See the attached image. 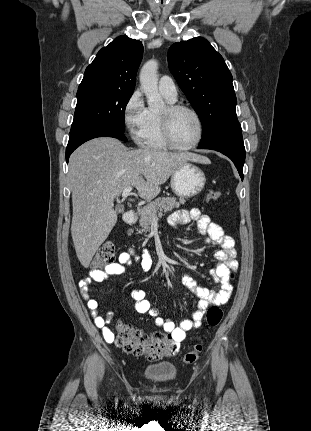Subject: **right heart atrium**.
<instances>
[{"label": "right heart atrium", "mask_w": 311, "mask_h": 431, "mask_svg": "<svg viewBox=\"0 0 311 431\" xmlns=\"http://www.w3.org/2000/svg\"><path fill=\"white\" fill-rule=\"evenodd\" d=\"M147 114L140 90H134L123 106V122L129 136L138 144L142 143L141 133Z\"/></svg>", "instance_id": "obj_1"}]
</instances>
